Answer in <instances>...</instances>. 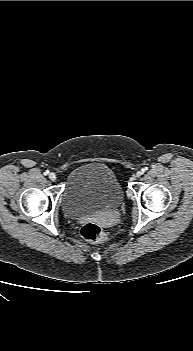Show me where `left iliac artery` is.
<instances>
[{
    "label": "left iliac artery",
    "mask_w": 193,
    "mask_h": 351,
    "mask_svg": "<svg viewBox=\"0 0 193 351\" xmlns=\"http://www.w3.org/2000/svg\"><path fill=\"white\" fill-rule=\"evenodd\" d=\"M147 170H148V168L145 167V168L142 169V172L144 173V172L147 171Z\"/></svg>",
    "instance_id": "1"
}]
</instances>
